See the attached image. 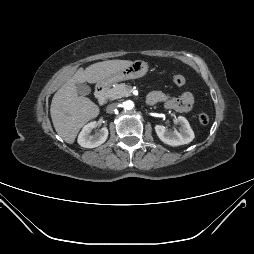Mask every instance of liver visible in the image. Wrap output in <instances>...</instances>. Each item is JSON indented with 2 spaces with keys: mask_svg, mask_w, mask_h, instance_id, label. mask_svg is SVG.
<instances>
[{
  "mask_svg": "<svg viewBox=\"0 0 254 254\" xmlns=\"http://www.w3.org/2000/svg\"><path fill=\"white\" fill-rule=\"evenodd\" d=\"M129 60H108L80 68L55 93L50 114L57 134L66 143L72 144L79 130L91 119L98 116L99 107L89 98L78 96V83H99L111 75L128 67Z\"/></svg>",
  "mask_w": 254,
  "mask_h": 254,
  "instance_id": "1",
  "label": "liver"
}]
</instances>
